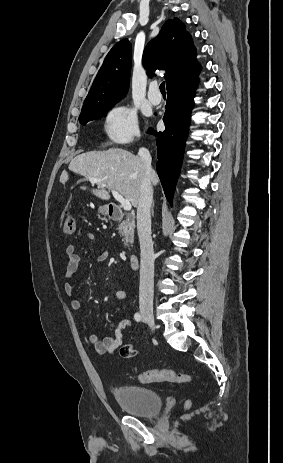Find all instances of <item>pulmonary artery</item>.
I'll list each match as a JSON object with an SVG mask.
<instances>
[{
  "instance_id": "1",
  "label": "pulmonary artery",
  "mask_w": 283,
  "mask_h": 463,
  "mask_svg": "<svg viewBox=\"0 0 283 463\" xmlns=\"http://www.w3.org/2000/svg\"><path fill=\"white\" fill-rule=\"evenodd\" d=\"M148 100L153 105H158L161 102V96L158 93L157 83H152L148 92Z\"/></svg>"
}]
</instances>
